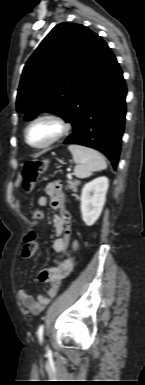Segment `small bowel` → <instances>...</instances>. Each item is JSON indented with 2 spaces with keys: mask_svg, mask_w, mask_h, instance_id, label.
<instances>
[{
  "mask_svg": "<svg viewBox=\"0 0 145 385\" xmlns=\"http://www.w3.org/2000/svg\"><path fill=\"white\" fill-rule=\"evenodd\" d=\"M38 204L41 207L50 206L57 210L58 214L54 217L55 240L52 248L57 253H62L66 250L71 234L70 215L65 209L64 197L59 182H50L46 186V194L38 199ZM73 263L70 260H65L59 265L45 268L39 273V280L49 284L47 296H33L25 289L18 291V300L21 306L31 314H39L53 298L62 283V281L73 270Z\"/></svg>",
  "mask_w": 145,
  "mask_h": 385,
  "instance_id": "1",
  "label": "small bowel"
}]
</instances>
